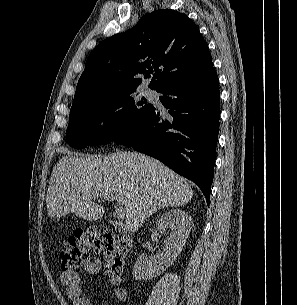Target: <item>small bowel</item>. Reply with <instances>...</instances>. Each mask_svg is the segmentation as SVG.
Wrapping results in <instances>:
<instances>
[{
    "label": "small bowel",
    "mask_w": 297,
    "mask_h": 305,
    "mask_svg": "<svg viewBox=\"0 0 297 305\" xmlns=\"http://www.w3.org/2000/svg\"><path fill=\"white\" fill-rule=\"evenodd\" d=\"M104 270V276L114 286V296L119 301L127 299V291L120 286L121 276L104 267L102 261L98 258H91L84 266V273L88 277H92ZM61 284L65 287L68 297L72 300L73 305H91L89 295L84 291L81 284V278L75 271H63L60 273Z\"/></svg>",
    "instance_id": "obj_1"
}]
</instances>
